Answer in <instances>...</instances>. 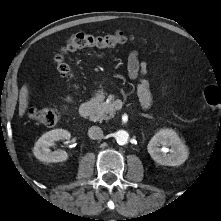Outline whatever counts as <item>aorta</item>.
Masks as SVG:
<instances>
[{"instance_id":"obj_1","label":"aorta","mask_w":221,"mask_h":221,"mask_svg":"<svg viewBox=\"0 0 221 221\" xmlns=\"http://www.w3.org/2000/svg\"><path fill=\"white\" fill-rule=\"evenodd\" d=\"M115 138L119 144H126L129 139V134L124 130H119L115 133Z\"/></svg>"}]
</instances>
